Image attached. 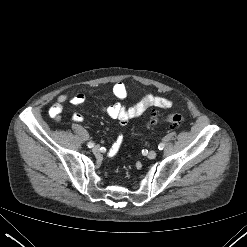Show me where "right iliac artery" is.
<instances>
[{"label": "right iliac artery", "instance_id": "obj_1", "mask_svg": "<svg viewBox=\"0 0 247 247\" xmlns=\"http://www.w3.org/2000/svg\"><path fill=\"white\" fill-rule=\"evenodd\" d=\"M87 146H88L89 148L94 147V142H88Z\"/></svg>", "mask_w": 247, "mask_h": 247}]
</instances>
